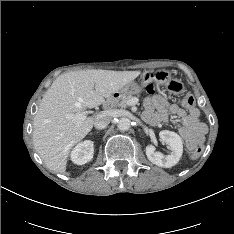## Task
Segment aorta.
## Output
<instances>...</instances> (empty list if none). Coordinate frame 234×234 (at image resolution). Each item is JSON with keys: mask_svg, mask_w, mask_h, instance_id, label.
I'll return each instance as SVG.
<instances>
[{"mask_svg": "<svg viewBox=\"0 0 234 234\" xmlns=\"http://www.w3.org/2000/svg\"><path fill=\"white\" fill-rule=\"evenodd\" d=\"M117 127L121 131H127L131 127V121L126 117H122L118 120Z\"/></svg>", "mask_w": 234, "mask_h": 234, "instance_id": "762f6f07", "label": "aorta"}]
</instances>
